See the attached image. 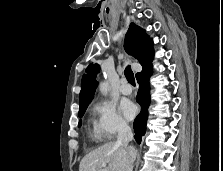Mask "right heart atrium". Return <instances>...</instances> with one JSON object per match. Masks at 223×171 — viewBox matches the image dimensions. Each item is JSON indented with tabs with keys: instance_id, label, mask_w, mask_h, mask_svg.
<instances>
[{
	"instance_id": "right-heart-atrium-1",
	"label": "right heart atrium",
	"mask_w": 223,
	"mask_h": 171,
	"mask_svg": "<svg viewBox=\"0 0 223 171\" xmlns=\"http://www.w3.org/2000/svg\"><path fill=\"white\" fill-rule=\"evenodd\" d=\"M92 111L95 115L94 131L101 139H113L129 129L127 122L119 114L115 105L108 101L95 102Z\"/></svg>"
}]
</instances>
